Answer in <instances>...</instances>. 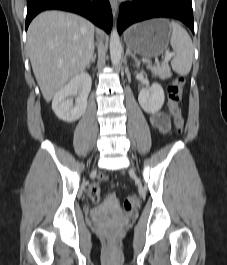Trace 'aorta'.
Segmentation results:
<instances>
[{
	"instance_id": "obj_1",
	"label": "aorta",
	"mask_w": 227,
	"mask_h": 265,
	"mask_svg": "<svg viewBox=\"0 0 227 265\" xmlns=\"http://www.w3.org/2000/svg\"><path fill=\"white\" fill-rule=\"evenodd\" d=\"M122 54V45L120 42L117 29L113 28L110 36V57L113 66H117L120 62Z\"/></svg>"
}]
</instances>
